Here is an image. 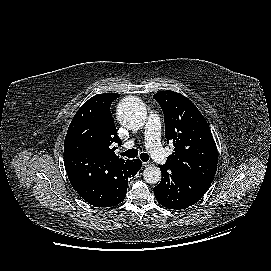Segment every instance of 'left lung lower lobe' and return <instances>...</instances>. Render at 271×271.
Wrapping results in <instances>:
<instances>
[{
    "mask_svg": "<svg viewBox=\"0 0 271 271\" xmlns=\"http://www.w3.org/2000/svg\"><path fill=\"white\" fill-rule=\"evenodd\" d=\"M161 182L154 187L157 201L170 209H184L198 202L208 190V186L179 171L159 165Z\"/></svg>",
    "mask_w": 271,
    "mask_h": 271,
    "instance_id": "left-lung-lower-lobe-1",
    "label": "left lung lower lobe"
}]
</instances>
